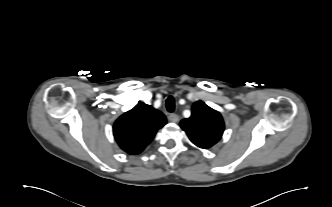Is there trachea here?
Instances as JSON below:
<instances>
[{"label": "trachea", "instance_id": "1", "mask_svg": "<svg viewBox=\"0 0 332 207\" xmlns=\"http://www.w3.org/2000/svg\"><path fill=\"white\" fill-rule=\"evenodd\" d=\"M166 108L169 112H173L175 109V101L172 96H169L166 100Z\"/></svg>", "mask_w": 332, "mask_h": 207}]
</instances>
